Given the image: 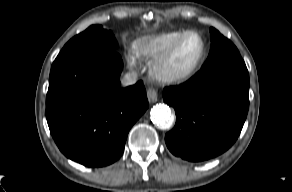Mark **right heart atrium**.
Masks as SVG:
<instances>
[{
	"label": "right heart atrium",
	"mask_w": 292,
	"mask_h": 192,
	"mask_svg": "<svg viewBox=\"0 0 292 192\" xmlns=\"http://www.w3.org/2000/svg\"><path fill=\"white\" fill-rule=\"evenodd\" d=\"M128 62L133 65L134 64V57L132 54L127 55Z\"/></svg>",
	"instance_id": "right-heart-atrium-1"
}]
</instances>
